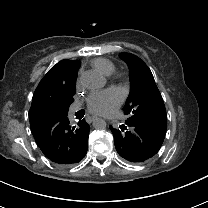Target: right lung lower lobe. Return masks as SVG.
<instances>
[{"instance_id": "right-lung-lower-lobe-1", "label": "right lung lower lobe", "mask_w": 208, "mask_h": 208, "mask_svg": "<svg viewBox=\"0 0 208 208\" xmlns=\"http://www.w3.org/2000/svg\"><path fill=\"white\" fill-rule=\"evenodd\" d=\"M29 119L35 141L48 159L67 165L85 157L90 127L84 119L76 127L69 125L67 114L33 111Z\"/></svg>"}]
</instances>
